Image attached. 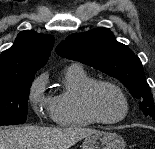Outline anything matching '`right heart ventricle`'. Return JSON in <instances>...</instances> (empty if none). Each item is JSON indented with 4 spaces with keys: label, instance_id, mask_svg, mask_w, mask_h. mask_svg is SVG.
<instances>
[{
    "label": "right heart ventricle",
    "instance_id": "1",
    "mask_svg": "<svg viewBox=\"0 0 155 149\" xmlns=\"http://www.w3.org/2000/svg\"><path fill=\"white\" fill-rule=\"evenodd\" d=\"M95 81L83 68L71 65L64 71V89L52 97L51 117L61 127H86L95 122L83 107V93Z\"/></svg>",
    "mask_w": 155,
    "mask_h": 149
}]
</instances>
